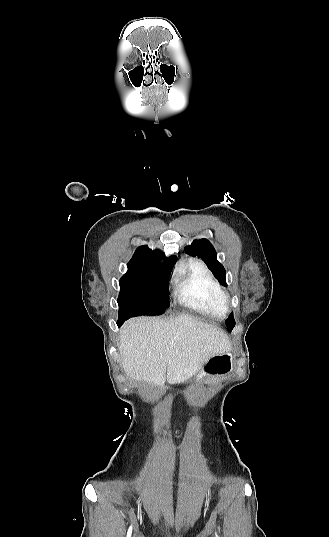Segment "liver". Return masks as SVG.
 I'll use <instances>...</instances> for the list:
<instances>
[{"label": "liver", "mask_w": 329, "mask_h": 537, "mask_svg": "<svg viewBox=\"0 0 329 537\" xmlns=\"http://www.w3.org/2000/svg\"><path fill=\"white\" fill-rule=\"evenodd\" d=\"M128 377L164 389L196 375L214 355L231 350L218 326L190 315L174 319L142 317L126 323L118 345Z\"/></svg>", "instance_id": "liver-1"}]
</instances>
